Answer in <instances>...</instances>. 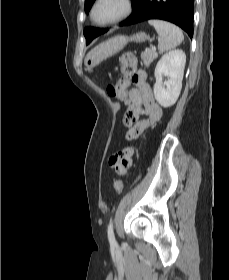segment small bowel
Segmentation results:
<instances>
[{"instance_id":"small-bowel-1","label":"small bowel","mask_w":229,"mask_h":280,"mask_svg":"<svg viewBox=\"0 0 229 280\" xmlns=\"http://www.w3.org/2000/svg\"><path fill=\"white\" fill-rule=\"evenodd\" d=\"M129 83L109 86L107 92L119 100L129 104L126 118L130 123L134 122L133 128L127 132V137L133 138L145 131L149 126L158 121L163 114L161 106L155 101L153 92L146 82L138 83L135 88L128 90ZM146 116L145 120H138L140 116Z\"/></svg>"}]
</instances>
